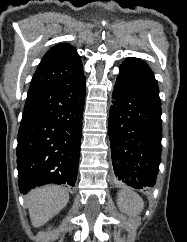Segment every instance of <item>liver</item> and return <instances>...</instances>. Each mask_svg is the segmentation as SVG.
Masks as SVG:
<instances>
[{
	"label": "liver",
	"mask_w": 187,
	"mask_h": 242,
	"mask_svg": "<svg viewBox=\"0 0 187 242\" xmlns=\"http://www.w3.org/2000/svg\"><path fill=\"white\" fill-rule=\"evenodd\" d=\"M69 194L62 186L47 185L32 190L26 197L33 227H41L68 203Z\"/></svg>",
	"instance_id": "1"
}]
</instances>
